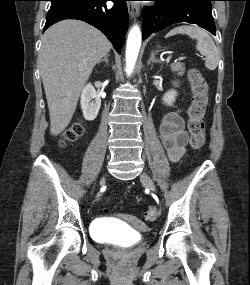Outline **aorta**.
Listing matches in <instances>:
<instances>
[{"mask_svg":"<svg viewBox=\"0 0 250 285\" xmlns=\"http://www.w3.org/2000/svg\"><path fill=\"white\" fill-rule=\"evenodd\" d=\"M141 47V31L138 25H134L127 39L126 45V73L130 75L133 72Z\"/></svg>","mask_w":250,"mask_h":285,"instance_id":"762f6f07","label":"aorta"}]
</instances>
